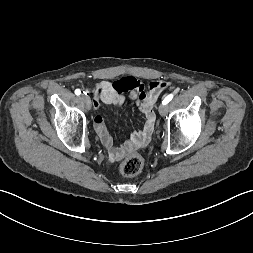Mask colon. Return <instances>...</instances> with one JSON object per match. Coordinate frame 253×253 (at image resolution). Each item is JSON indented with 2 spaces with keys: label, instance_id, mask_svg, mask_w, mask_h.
Listing matches in <instances>:
<instances>
[{
  "label": "colon",
  "instance_id": "colon-1",
  "mask_svg": "<svg viewBox=\"0 0 253 253\" xmlns=\"http://www.w3.org/2000/svg\"><path fill=\"white\" fill-rule=\"evenodd\" d=\"M144 166L143 158L138 154H132L120 164V172L124 176H134L141 172Z\"/></svg>",
  "mask_w": 253,
  "mask_h": 253
}]
</instances>
